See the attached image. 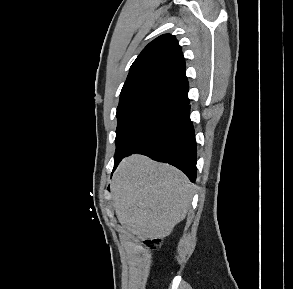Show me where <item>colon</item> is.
Returning a JSON list of instances; mask_svg holds the SVG:
<instances>
[{"instance_id":"obj_1","label":"colon","mask_w":293,"mask_h":289,"mask_svg":"<svg viewBox=\"0 0 293 289\" xmlns=\"http://www.w3.org/2000/svg\"><path fill=\"white\" fill-rule=\"evenodd\" d=\"M145 243L151 249H157L160 246V240L158 239H147Z\"/></svg>"}]
</instances>
